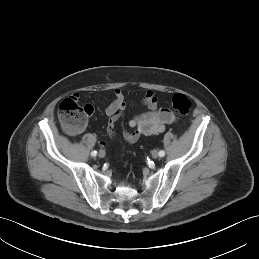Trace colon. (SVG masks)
Listing matches in <instances>:
<instances>
[{
    "instance_id": "5ec220e1",
    "label": "colon",
    "mask_w": 259,
    "mask_h": 259,
    "mask_svg": "<svg viewBox=\"0 0 259 259\" xmlns=\"http://www.w3.org/2000/svg\"><path fill=\"white\" fill-rule=\"evenodd\" d=\"M172 107L178 114L185 115L191 108V101L186 95L177 93L173 96ZM87 116V105L79 104L74 96L63 99L58 106L59 121L69 132L81 131L86 125Z\"/></svg>"
}]
</instances>
